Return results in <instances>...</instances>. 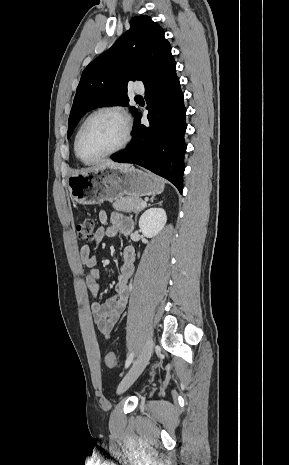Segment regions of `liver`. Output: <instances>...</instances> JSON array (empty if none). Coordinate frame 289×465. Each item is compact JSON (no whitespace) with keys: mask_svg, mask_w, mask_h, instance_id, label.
I'll use <instances>...</instances> for the list:
<instances>
[{"mask_svg":"<svg viewBox=\"0 0 289 465\" xmlns=\"http://www.w3.org/2000/svg\"><path fill=\"white\" fill-rule=\"evenodd\" d=\"M130 166H131L130 164L115 163L113 161L108 160L102 163L101 165H99L98 167L90 168L88 170L95 169V168H102V167L124 168V167H130Z\"/></svg>","mask_w":289,"mask_h":465,"instance_id":"obj_1","label":"liver"}]
</instances>
